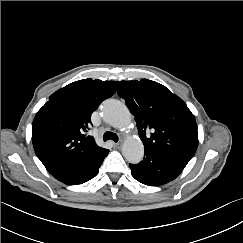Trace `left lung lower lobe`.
<instances>
[{"mask_svg":"<svg viewBox=\"0 0 243 243\" xmlns=\"http://www.w3.org/2000/svg\"><path fill=\"white\" fill-rule=\"evenodd\" d=\"M191 158L187 154L145 148L143 161L129 167L137 181L148 186H159L175 179Z\"/></svg>","mask_w":243,"mask_h":243,"instance_id":"1","label":"left lung lower lobe"}]
</instances>
